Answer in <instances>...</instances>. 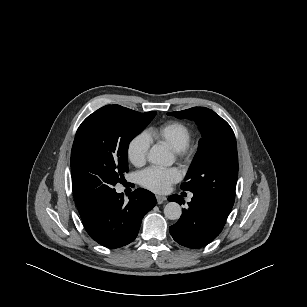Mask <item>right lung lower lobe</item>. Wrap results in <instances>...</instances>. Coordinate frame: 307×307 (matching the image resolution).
Masks as SVG:
<instances>
[{
  "label": "right lung lower lobe",
  "mask_w": 307,
  "mask_h": 307,
  "mask_svg": "<svg viewBox=\"0 0 307 307\" xmlns=\"http://www.w3.org/2000/svg\"><path fill=\"white\" fill-rule=\"evenodd\" d=\"M156 205L151 192L138 188L129 202L116 191L96 202L81 219L90 237L107 248L131 243L138 235L142 218Z\"/></svg>",
  "instance_id": "right-lung-lower-lobe-1"
}]
</instances>
